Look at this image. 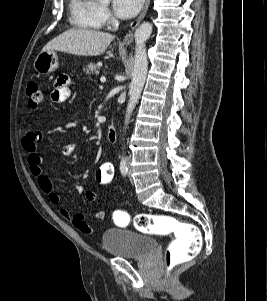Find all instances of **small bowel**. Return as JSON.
I'll list each match as a JSON object with an SVG mask.
<instances>
[{
    "mask_svg": "<svg viewBox=\"0 0 267 301\" xmlns=\"http://www.w3.org/2000/svg\"><path fill=\"white\" fill-rule=\"evenodd\" d=\"M70 77L62 74L54 82L53 91L51 93V99L55 103H63L67 101L71 95L69 88ZM41 141V133L33 127H29L21 141V146L27 155V162L30 173L36 177L40 189L48 196L52 204H59L60 197L56 193L52 179L42 169V158L37 152V147ZM76 150V144L70 143L63 147L62 153L64 156H71ZM74 188L81 193L83 188L79 184H73ZM86 200L93 202L97 199V194L94 191L86 192ZM60 214L72 220L73 225L81 232L89 234L93 232L91 226L86 222L85 218L81 214L72 215L66 208L60 209ZM94 217L98 220H102L105 217L104 211H98L94 214Z\"/></svg>",
    "mask_w": 267,
    "mask_h": 301,
    "instance_id": "1",
    "label": "small bowel"
}]
</instances>
